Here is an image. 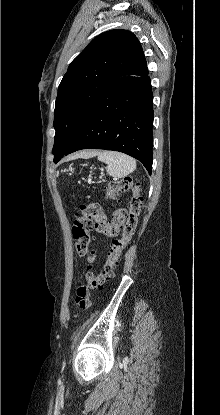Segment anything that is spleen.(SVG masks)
Listing matches in <instances>:
<instances>
[{
	"label": "spleen",
	"mask_w": 220,
	"mask_h": 415,
	"mask_svg": "<svg viewBox=\"0 0 220 415\" xmlns=\"http://www.w3.org/2000/svg\"><path fill=\"white\" fill-rule=\"evenodd\" d=\"M98 160L107 164V173L114 178L126 177L136 169L132 157L116 151L97 152Z\"/></svg>",
	"instance_id": "spleen-1"
}]
</instances>
